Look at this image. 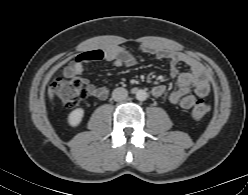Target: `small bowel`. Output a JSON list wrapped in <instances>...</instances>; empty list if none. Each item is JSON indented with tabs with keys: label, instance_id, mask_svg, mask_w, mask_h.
<instances>
[{
	"label": "small bowel",
	"instance_id": "1",
	"mask_svg": "<svg viewBox=\"0 0 248 195\" xmlns=\"http://www.w3.org/2000/svg\"><path fill=\"white\" fill-rule=\"evenodd\" d=\"M141 51L155 55L159 59H165L170 62V74L177 79V86L169 95V101L184 109H190L197 97H206L210 93V84L208 75L204 67L196 60L185 56L181 53L155 46L152 44H144L141 46ZM95 62L110 63L116 67L132 66L136 59L134 54L122 47H109L106 49H91L84 52L75 62L67 65L63 74L68 78H73L81 75L88 64ZM186 64L190 67L187 72H179L178 66ZM82 81L87 86L89 94L99 100H104L108 97L109 91L104 86H97L86 78ZM193 90L194 94H190ZM153 94L160 97L165 92L163 85L153 87Z\"/></svg>",
	"mask_w": 248,
	"mask_h": 195
}]
</instances>
